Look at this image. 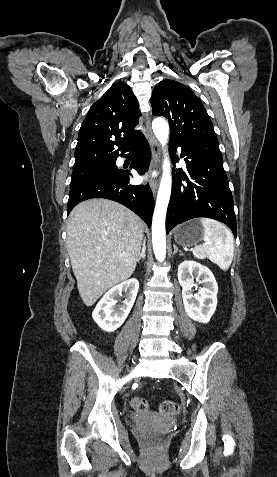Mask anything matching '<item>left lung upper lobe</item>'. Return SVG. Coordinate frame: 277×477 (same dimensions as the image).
Returning <instances> with one entry per match:
<instances>
[{"label": "left lung upper lobe", "mask_w": 277, "mask_h": 477, "mask_svg": "<svg viewBox=\"0 0 277 477\" xmlns=\"http://www.w3.org/2000/svg\"><path fill=\"white\" fill-rule=\"evenodd\" d=\"M152 113L170 123L171 140L218 141L201 100L185 85L163 80L153 90Z\"/></svg>", "instance_id": "left-lung-upper-lobe-1"}]
</instances>
